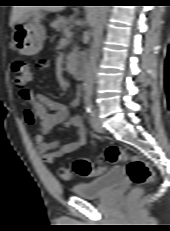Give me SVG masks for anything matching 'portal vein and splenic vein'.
I'll return each mask as SVG.
<instances>
[{"mask_svg":"<svg viewBox=\"0 0 170 231\" xmlns=\"http://www.w3.org/2000/svg\"><path fill=\"white\" fill-rule=\"evenodd\" d=\"M64 34H65L66 38H69L72 35L69 27L65 28Z\"/></svg>","mask_w":170,"mask_h":231,"instance_id":"obj_1","label":"portal vein and splenic vein"}]
</instances>
